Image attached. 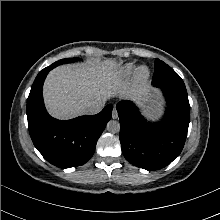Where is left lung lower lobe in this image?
I'll list each match as a JSON object with an SVG mask.
<instances>
[{
  "label": "left lung lower lobe",
  "instance_id": "1",
  "mask_svg": "<svg viewBox=\"0 0 220 220\" xmlns=\"http://www.w3.org/2000/svg\"><path fill=\"white\" fill-rule=\"evenodd\" d=\"M158 88L167 101L165 117L158 124L147 122L130 101H120L116 106L123 155L131 164L149 171L164 168L178 157L190 121L187 91Z\"/></svg>",
  "mask_w": 220,
  "mask_h": 220
}]
</instances>
